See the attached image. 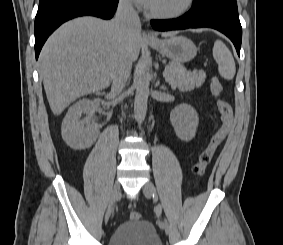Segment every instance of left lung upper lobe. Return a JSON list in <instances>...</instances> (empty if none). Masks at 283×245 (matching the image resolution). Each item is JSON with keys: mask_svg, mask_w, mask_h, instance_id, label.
Here are the masks:
<instances>
[{"mask_svg": "<svg viewBox=\"0 0 283 245\" xmlns=\"http://www.w3.org/2000/svg\"><path fill=\"white\" fill-rule=\"evenodd\" d=\"M192 12H219L238 16L236 0H194Z\"/></svg>", "mask_w": 283, "mask_h": 245, "instance_id": "left-lung-upper-lobe-1", "label": "left lung upper lobe"}]
</instances>
